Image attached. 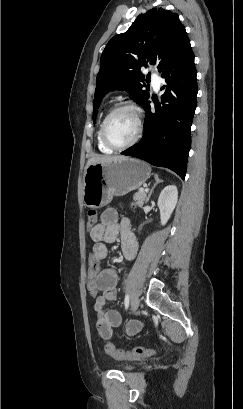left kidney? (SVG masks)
I'll use <instances>...</instances> for the list:
<instances>
[{
  "mask_svg": "<svg viewBox=\"0 0 243 409\" xmlns=\"http://www.w3.org/2000/svg\"><path fill=\"white\" fill-rule=\"evenodd\" d=\"M178 200V190L177 187L174 185L166 186L160 193L158 198V207L160 209V220L161 224L165 225Z\"/></svg>",
  "mask_w": 243,
  "mask_h": 409,
  "instance_id": "obj_1",
  "label": "left kidney"
}]
</instances>
